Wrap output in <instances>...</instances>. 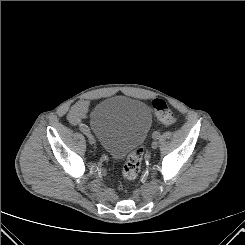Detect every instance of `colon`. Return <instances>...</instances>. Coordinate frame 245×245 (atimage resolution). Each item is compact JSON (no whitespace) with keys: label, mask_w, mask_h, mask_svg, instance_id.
<instances>
[{"label":"colon","mask_w":245,"mask_h":245,"mask_svg":"<svg viewBox=\"0 0 245 245\" xmlns=\"http://www.w3.org/2000/svg\"><path fill=\"white\" fill-rule=\"evenodd\" d=\"M157 118L164 124L172 125L177 119L166 102L162 99H154L152 102ZM143 159V148L134 149L127 157L122 169V177L126 184L132 183L138 176Z\"/></svg>","instance_id":"colon-1"}]
</instances>
